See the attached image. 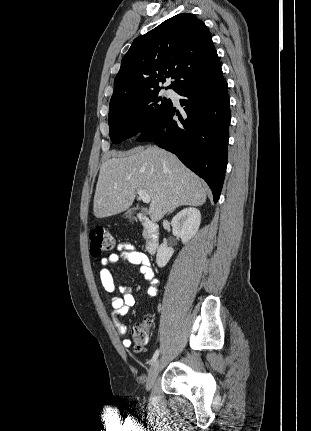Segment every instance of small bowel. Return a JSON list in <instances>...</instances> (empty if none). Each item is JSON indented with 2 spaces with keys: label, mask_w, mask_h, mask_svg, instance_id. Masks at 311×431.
Returning a JSON list of instances; mask_svg holds the SVG:
<instances>
[{
  "label": "small bowel",
  "mask_w": 311,
  "mask_h": 431,
  "mask_svg": "<svg viewBox=\"0 0 311 431\" xmlns=\"http://www.w3.org/2000/svg\"><path fill=\"white\" fill-rule=\"evenodd\" d=\"M121 259L139 266L141 274L151 284L148 290L151 296H155L157 294L159 281L154 278V272L149 258L131 243H119L117 246V253H112L108 257L101 259L102 268L100 270V280L103 289L110 298V303L113 308L112 320L119 334L126 335L127 327L121 322V316L127 314L129 309L134 305L135 297L130 287H117L115 285L113 273L109 269L111 264H114ZM117 290L121 293L120 296L116 294ZM122 344L125 347H129L131 345V341L126 338L122 341Z\"/></svg>",
  "instance_id": "obj_1"
}]
</instances>
